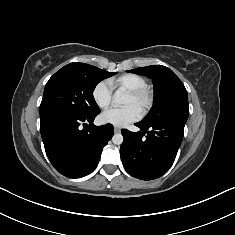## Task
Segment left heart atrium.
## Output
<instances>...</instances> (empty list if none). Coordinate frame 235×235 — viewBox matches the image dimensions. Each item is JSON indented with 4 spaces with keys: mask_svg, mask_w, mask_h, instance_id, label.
Listing matches in <instances>:
<instances>
[{
    "mask_svg": "<svg viewBox=\"0 0 235 235\" xmlns=\"http://www.w3.org/2000/svg\"><path fill=\"white\" fill-rule=\"evenodd\" d=\"M140 117V111L133 105L110 108L101 115V119L104 123L118 127H123L132 122H135Z\"/></svg>",
    "mask_w": 235,
    "mask_h": 235,
    "instance_id": "1",
    "label": "left heart atrium"
}]
</instances>
